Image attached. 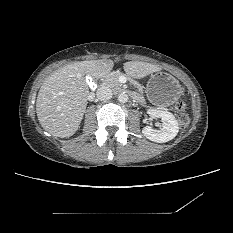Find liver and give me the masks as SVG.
Masks as SVG:
<instances>
[{"label":"liver","mask_w":233,"mask_h":233,"mask_svg":"<svg viewBox=\"0 0 233 233\" xmlns=\"http://www.w3.org/2000/svg\"><path fill=\"white\" fill-rule=\"evenodd\" d=\"M108 60L81 61L69 64L43 82L36 101V113L44 130L59 138L72 136L79 128L87 106L89 88L85 75L100 78L112 70ZM124 71L133 78H143L161 67L147 62L130 61Z\"/></svg>","instance_id":"obj_1"}]
</instances>
